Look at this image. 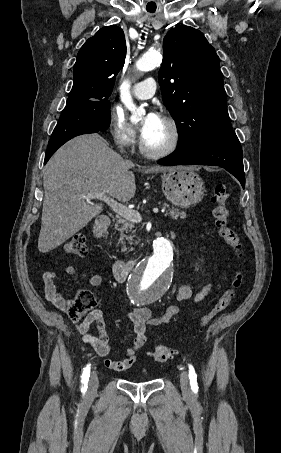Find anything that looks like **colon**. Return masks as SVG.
Here are the masks:
<instances>
[{"instance_id": "obj_1", "label": "colon", "mask_w": 281, "mask_h": 453, "mask_svg": "<svg viewBox=\"0 0 281 453\" xmlns=\"http://www.w3.org/2000/svg\"><path fill=\"white\" fill-rule=\"evenodd\" d=\"M230 186L226 183H218L213 188L211 204L214 208V226L224 244L230 248L238 260L241 259L242 246L237 233L229 225L228 199ZM58 250L65 257H85L88 248L82 238H70L58 245ZM244 271L238 265L232 273L228 287L220 297L201 315L195 326V333H201L210 322L220 313L228 308L236 293L243 284ZM70 310L79 313L81 308L78 305H71ZM151 358L155 363H168L172 358V351L168 347H159L151 351Z\"/></svg>"}]
</instances>
